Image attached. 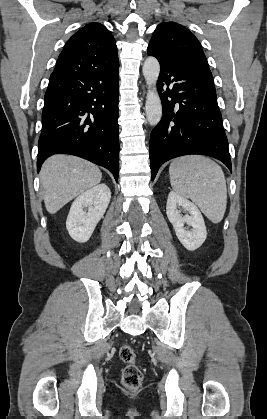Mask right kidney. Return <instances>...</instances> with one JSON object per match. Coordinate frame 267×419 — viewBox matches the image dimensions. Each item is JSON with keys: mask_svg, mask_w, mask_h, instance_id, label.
Instances as JSON below:
<instances>
[{"mask_svg": "<svg viewBox=\"0 0 267 419\" xmlns=\"http://www.w3.org/2000/svg\"><path fill=\"white\" fill-rule=\"evenodd\" d=\"M111 191L98 184L79 195L70 208L66 228L73 240L87 242L110 203Z\"/></svg>", "mask_w": 267, "mask_h": 419, "instance_id": "ca27d5eb", "label": "right kidney"}]
</instances>
